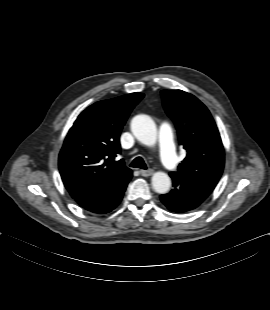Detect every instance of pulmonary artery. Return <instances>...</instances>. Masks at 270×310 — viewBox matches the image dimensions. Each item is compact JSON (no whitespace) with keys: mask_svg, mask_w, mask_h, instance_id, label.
I'll return each mask as SVG.
<instances>
[{"mask_svg":"<svg viewBox=\"0 0 270 310\" xmlns=\"http://www.w3.org/2000/svg\"><path fill=\"white\" fill-rule=\"evenodd\" d=\"M159 142L162 164L169 170L174 169L177 165V159L173 145L172 130L167 123H163L160 127Z\"/></svg>","mask_w":270,"mask_h":310,"instance_id":"e3ab8cb5","label":"pulmonary artery"}]
</instances>
